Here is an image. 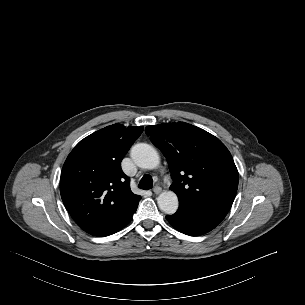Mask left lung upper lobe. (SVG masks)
<instances>
[{
	"label": "left lung upper lobe",
	"instance_id": "left-lung-upper-lobe-1",
	"mask_svg": "<svg viewBox=\"0 0 305 305\" xmlns=\"http://www.w3.org/2000/svg\"><path fill=\"white\" fill-rule=\"evenodd\" d=\"M145 132L167 158L179 202L232 205L239 175L218 138L185 122L147 126Z\"/></svg>",
	"mask_w": 305,
	"mask_h": 305
}]
</instances>
